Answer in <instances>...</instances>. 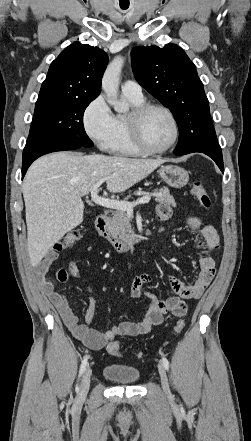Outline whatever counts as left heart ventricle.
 Here are the masks:
<instances>
[{
  "label": "left heart ventricle",
  "mask_w": 251,
  "mask_h": 441,
  "mask_svg": "<svg viewBox=\"0 0 251 441\" xmlns=\"http://www.w3.org/2000/svg\"><path fill=\"white\" fill-rule=\"evenodd\" d=\"M142 132L146 143L152 148H163L173 138V125L166 113L161 110H151L144 117Z\"/></svg>",
  "instance_id": "b2bd125f"
}]
</instances>
